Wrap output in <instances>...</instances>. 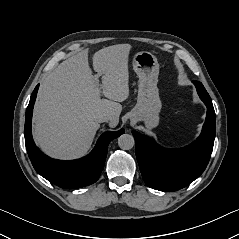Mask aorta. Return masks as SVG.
Masks as SVG:
<instances>
[{
    "label": "aorta",
    "mask_w": 239,
    "mask_h": 239,
    "mask_svg": "<svg viewBox=\"0 0 239 239\" xmlns=\"http://www.w3.org/2000/svg\"><path fill=\"white\" fill-rule=\"evenodd\" d=\"M135 144L134 137L130 134H122L118 138V146L122 150H130Z\"/></svg>",
    "instance_id": "aorta-1"
}]
</instances>
